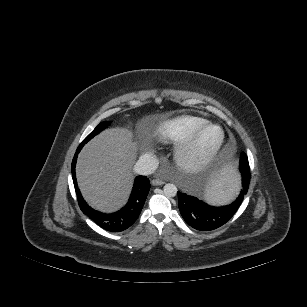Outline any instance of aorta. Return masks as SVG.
I'll return each instance as SVG.
<instances>
[{"label": "aorta", "mask_w": 307, "mask_h": 307, "mask_svg": "<svg viewBox=\"0 0 307 307\" xmlns=\"http://www.w3.org/2000/svg\"><path fill=\"white\" fill-rule=\"evenodd\" d=\"M163 191H164V195L166 197H174L177 195V187L172 184V183H167L164 188H163Z\"/></svg>", "instance_id": "762f6f07"}]
</instances>
